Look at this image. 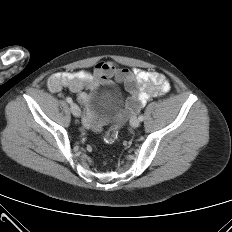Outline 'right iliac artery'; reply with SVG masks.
<instances>
[{
	"label": "right iliac artery",
	"mask_w": 232,
	"mask_h": 232,
	"mask_svg": "<svg viewBox=\"0 0 232 232\" xmlns=\"http://www.w3.org/2000/svg\"><path fill=\"white\" fill-rule=\"evenodd\" d=\"M66 101H67L68 103H70V104H72V102H73L72 99H71L70 97H67V98H66Z\"/></svg>",
	"instance_id": "1"
}]
</instances>
